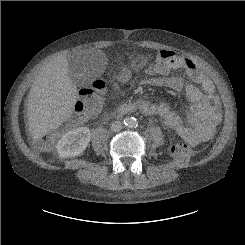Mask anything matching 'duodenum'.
Instances as JSON below:
<instances>
[{
  "label": "duodenum",
  "instance_id": "duodenum-1",
  "mask_svg": "<svg viewBox=\"0 0 245 245\" xmlns=\"http://www.w3.org/2000/svg\"><path fill=\"white\" fill-rule=\"evenodd\" d=\"M140 103L137 102V103H134V104H131V103H128V104H125L123 105L117 112V114L119 115H128L132 112H134L135 110H138L140 109Z\"/></svg>",
  "mask_w": 245,
  "mask_h": 245
}]
</instances>
